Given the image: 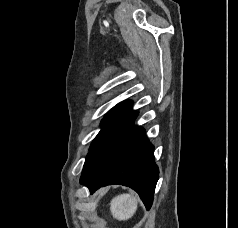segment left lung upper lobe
Listing matches in <instances>:
<instances>
[{
  "instance_id": "left-lung-upper-lobe-1",
  "label": "left lung upper lobe",
  "mask_w": 238,
  "mask_h": 228,
  "mask_svg": "<svg viewBox=\"0 0 238 228\" xmlns=\"http://www.w3.org/2000/svg\"><path fill=\"white\" fill-rule=\"evenodd\" d=\"M131 106L132 101L121 102L112 108L102 120L103 127L90 146L81 177L89 176L101 163L117 133L135 114Z\"/></svg>"
}]
</instances>
